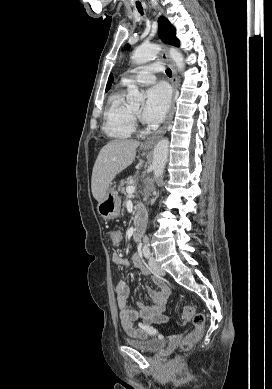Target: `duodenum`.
Returning <instances> with one entry per match:
<instances>
[{"label":"duodenum","mask_w":272,"mask_h":389,"mask_svg":"<svg viewBox=\"0 0 272 389\" xmlns=\"http://www.w3.org/2000/svg\"><path fill=\"white\" fill-rule=\"evenodd\" d=\"M144 214L141 209H138L136 212L135 220H134V228H133V239L135 241H139L142 237L144 231Z\"/></svg>","instance_id":"duodenum-1"}]
</instances>
